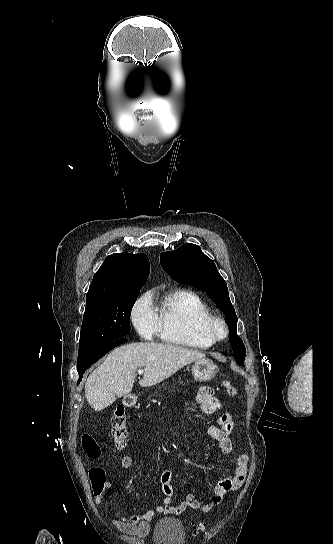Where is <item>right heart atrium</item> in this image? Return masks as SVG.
Returning <instances> with one entry per match:
<instances>
[{
    "label": "right heart atrium",
    "mask_w": 333,
    "mask_h": 544,
    "mask_svg": "<svg viewBox=\"0 0 333 544\" xmlns=\"http://www.w3.org/2000/svg\"><path fill=\"white\" fill-rule=\"evenodd\" d=\"M132 322L145 339H152L159 332V320L148 295L142 296L132 310Z\"/></svg>",
    "instance_id": "right-heart-atrium-1"
}]
</instances>
